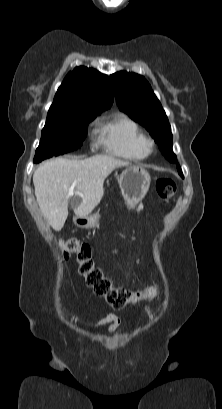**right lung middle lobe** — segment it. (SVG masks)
<instances>
[{
    "label": "right lung middle lobe",
    "mask_w": 222,
    "mask_h": 409,
    "mask_svg": "<svg viewBox=\"0 0 222 409\" xmlns=\"http://www.w3.org/2000/svg\"><path fill=\"white\" fill-rule=\"evenodd\" d=\"M103 110L71 108L49 111L34 162L79 148L87 136V125Z\"/></svg>",
    "instance_id": "dd1d6c3e"
}]
</instances>
